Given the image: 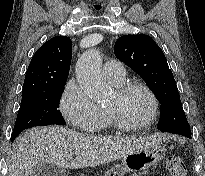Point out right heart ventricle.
Instances as JSON below:
<instances>
[{
	"label": "right heart ventricle",
	"mask_w": 205,
	"mask_h": 176,
	"mask_svg": "<svg viewBox=\"0 0 205 176\" xmlns=\"http://www.w3.org/2000/svg\"><path fill=\"white\" fill-rule=\"evenodd\" d=\"M110 83L114 85L115 87H120L121 85H123V81L119 83L110 81ZM101 112H102V118L97 125L98 132H104L112 124V119L108 111L106 109H101Z\"/></svg>",
	"instance_id": "e07e8e85"
}]
</instances>
